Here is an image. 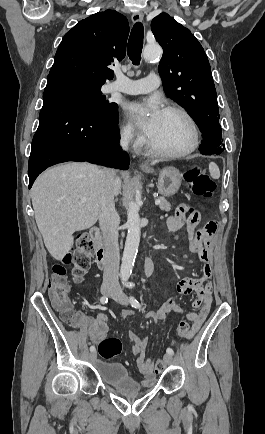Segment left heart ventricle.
Instances as JSON below:
<instances>
[{
  "label": "left heart ventricle",
  "instance_id": "1",
  "mask_svg": "<svg viewBox=\"0 0 265 434\" xmlns=\"http://www.w3.org/2000/svg\"><path fill=\"white\" fill-rule=\"evenodd\" d=\"M191 140V128L179 113H163L155 135L149 141L158 149L176 152L182 150Z\"/></svg>",
  "mask_w": 265,
  "mask_h": 434
}]
</instances>
